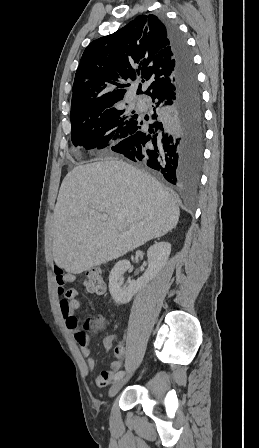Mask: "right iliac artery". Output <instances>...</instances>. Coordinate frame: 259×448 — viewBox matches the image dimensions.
Segmentation results:
<instances>
[{
  "mask_svg": "<svg viewBox=\"0 0 259 448\" xmlns=\"http://www.w3.org/2000/svg\"><path fill=\"white\" fill-rule=\"evenodd\" d=\"M123 376H124V371H119V372H117V373L115 374V376H114V380H115V381H116V380H119V379H121Z\"/></svg>",
  "mask_w": 259,
  "mask_h": 448,
  "instance_id": "right-iliac-artery-1",
  "label": "right iliac artery"
}]
</instances>
